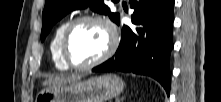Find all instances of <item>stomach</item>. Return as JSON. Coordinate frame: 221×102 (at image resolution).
Segmentation results:
<instances>
[{"instance_id":"1","label":"stomach","mask_w":221,"mask_h":102,"mask_svg":"<svg viewBox=\"0 0 221 102\" xmlns=\"http://www.w3.org/2000/svg\"><path fill=\"white\" fill-rule=\"evenodd\" d=\"M123 88L124 82L119 76L106 74L45 88L35 102H105L118 96Z\"/></svg>"}]
</instances>
